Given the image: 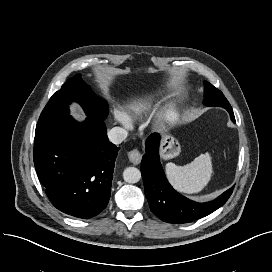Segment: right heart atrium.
I'll list each match as a JSON object with an SVG mask.
<instances>
[{"label":"right heart atrium","mask_w":272,"mask_h":272,"mask_svg":"<svg viewBox=\"0 0 272 272\" xmlns=\"http://www.w3.org/2000/svg\"><path fill=\"white\" fill-rule=\"evenodd\" d=\"M116 117H117V119H118L119 121H121V122H123V123H125V124L129 123V122H127V121L124 119V117H122L119 113H116Z\"/></svg>","instance_id":"1"}]
</instances>
